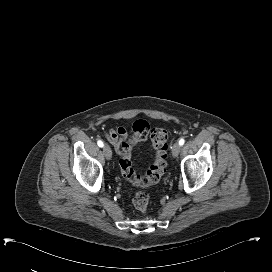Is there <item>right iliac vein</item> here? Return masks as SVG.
I'll return each instance as SVG.
<instances>
[{
  "instance_id": "1",
  "label": "right iliac vein",
  "mask_w": 272,
  "mask_h": 272,
  "mask_svg": "<svg viewBox=\"0 0 272 272\" xmlns=\"http://www.w3.org/2000/svg\"><path fill=\"white\" fill-rule=\"evenodd\" d=\"M103 153H104L105 158L107 160H110L112 158V150H111V148L108 145H105L103 147Z\"/></svg>"
}]
</instances>
